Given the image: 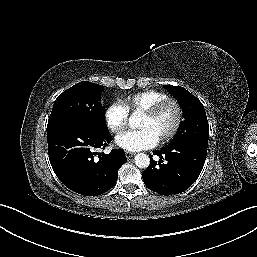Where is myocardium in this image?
<instances>
[{"mask_svg": "<svg viewBox=\"0 0 257 257\" xmlns=\"http://www.w3.org/2000/svg\"><path fill=\"white\" fill-rule=\"evenodd\" d=\"M168 106H173L175 109V122L171 130L159 138L160 142H167L173 139L178 133L183 120V108L181 104L175 98L168 97L142 112L144 116L156 118Z\"/></svg>", "mask_w": 257, "mask_h": 257, "instance_id": "f54148a6", "label": "myocardium"}]
</instances>
